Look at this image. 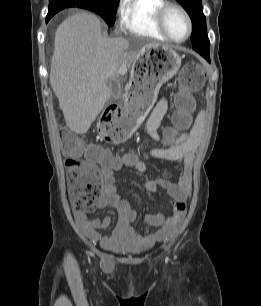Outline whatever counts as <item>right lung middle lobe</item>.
Segmentation results:
<instances>
[{
	"mask_svg": "<svg viewBox=\"0 0 261 306\" xmlns=\"http://www.w3.org/2000/svg\"><path fill=\"white\" fill-rule=\"evenodd\" d=\"M118 2L119 0L49 1L48 15L54 16L68 7H79L99 14L109 26H112L115 23Z\"/></svg>",
	"mask_w": 261,
	"mask_h": 306,
	"instance_id": "obj_1",
	"label": "right lung middle lobe"
}]
</instances>
